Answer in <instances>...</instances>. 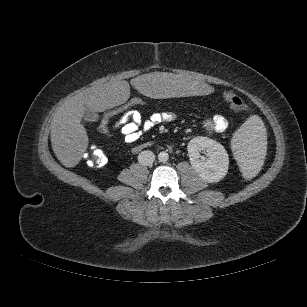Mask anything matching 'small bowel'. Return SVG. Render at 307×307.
Returning a JSON list of instances; mask_svg holds the SVG:
<instances>
[{
    "mask_svg": "<svg viewBox=\"0 0 307 307\" xmlns=\"http://www.w3.org/2000/svg\"><path fill=\"white\" fill-rule=\"evenodd\" d=\"M174 120L175 115L169 111L154 112L145 118L138 110H134L116 122L113 125V130L119 132L126 143L132 144L141 139L144 134ZM203 126L209 133H222L228 128V121L222 115H215L204 121Z\"/></svg>",
    "mask_w": 307,
    "mask_h": 307,
    "instance_id": "obj_1",
    "label": "small bowel"
}]
</instances>
